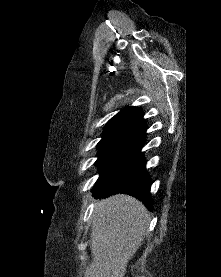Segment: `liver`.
Listing matches in <instances>:
<instances>
[{"instance_id": "obj_1", "label": "liver", "mask_w": 221, "mask_h": 277, "mask_svg": "<svg viewBox=\"0 0 221 277\" xmlns=\"http://www.w3.org/2000/svg\"><path fill=\"white\" fill-rule=\"evenodd\" d=\"M149 219L145 206L131 196L99 200L92 219L93 260L84 277H124L129 260L143 242Z\"/></svg>"}]
</instances>
